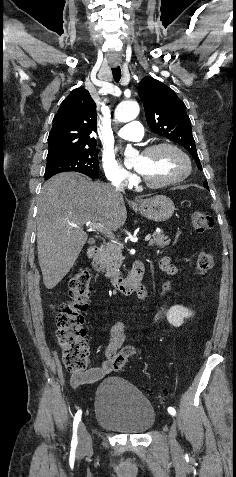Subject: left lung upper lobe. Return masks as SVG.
<instances>
[{
    "label": "left lung upper lobe",
    "mask_w": 236,
    "mask_h": 477,
    "mask_svg": "<svg viewBox=\"0 0 236 477\" xmlns=\"http://www.w3.org/2000/svg\"><path fill=\"white\" fill-rule=\"evenodd\" d=\"M138 93L153 132L183 146L202 170L185 104L172 89L152 77L139 82ZM203 185L208 189L207 181Z\"/></svg>",
    "instance_id": "left-lung-upper-lobe-1"
}]
</instances>
